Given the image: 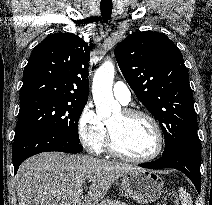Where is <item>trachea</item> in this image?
Segmentation results:
<instances>
[{
	"label": "trachea",
	"mask_w": 212,
	"mask_h": 205,
	"mask_svg": "<svg viewBox=\"0 0 212 205\" xmlns=\"http://www.w3.org/2000/svg\"><path fill=\"white\" fill-rule=\"evenodd\" d=\"M100 9L104 22H108L112 14V4H101Z\"/></svg>",
	"instance_id": "obj_1"
}]
</instances>
